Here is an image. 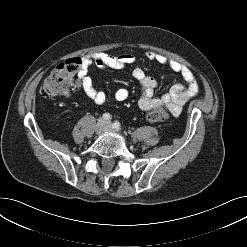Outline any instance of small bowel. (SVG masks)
<instances>
[{
    "mask_svg": "<svg viewBox=\"0 0 247 247\" xmlns=\"http://www.w3.org/2000/svg\"><path fill=\"white\" fill-rule=\"evenodd\" d=\"M146 58L179 73L183 78V82L173 85L167 93L156 97L157 81L146 75L141 67H135L132 71V76L138 81L141 87V96L138 102L139 107L144 111H149L156 106H164L171 115H180L184 104L199 91L198 83L192 71L180 62L154 51H148ZM135 61L136 57L132 54L114 56L106 52H94L83 56L80 59L78 75L81 88L85 95L97 105H104L108 100L104 92L94 87L93 81L88 74L89 68L92 65L103 69H122L133 64ZM128 97L129 91L126 88H119L114 93V99L118 102H123Z\"/></svg>",
    "mask_w": 247,
    "mask_h": 247,
    "instance_id": "c3829d8e",
    "label": "small bowel"
}]
</instances>
